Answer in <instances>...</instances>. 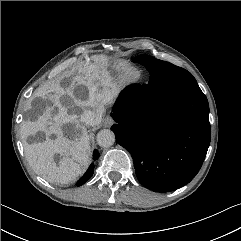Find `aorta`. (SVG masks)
<instances>
[{"instance_id": "762f6f07", "label": "aorta", "mask_w": 241, "mask_h": 241, "mask_svg": "<svg viewBox=\"0 0 241 241\" xmlns=\"http://www.w3.org/2000/svg\"><path fill=\"white\" fill-rule=\"evenodd\" d=\"M96 140L100 147L108 148L114 144L115 135L111 130L103 129L98 132Z\"/></svg>"}]
</instances>
